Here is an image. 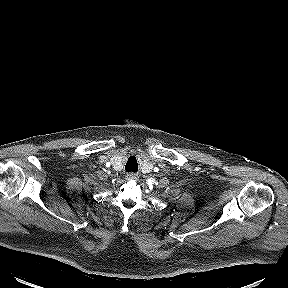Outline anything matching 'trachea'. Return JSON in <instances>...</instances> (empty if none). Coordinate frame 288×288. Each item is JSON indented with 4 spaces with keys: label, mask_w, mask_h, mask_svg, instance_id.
<instances>
[{
    "label": "trachea",
    "mask_w": 288,
    "mask_h": 288,
    "mask_svg": "<svg viewBox=\"0 0 288 288\" xmlns=\"http://www.w3.org/2000/svg\"><path fill=\"white\" fill-rule=\"evenodd\" d=\"M127 172H136L138 170V164L135 157H130L125 166Z\"/></svg>",
    "instance_id": "3493384b"
}]
</instances>
